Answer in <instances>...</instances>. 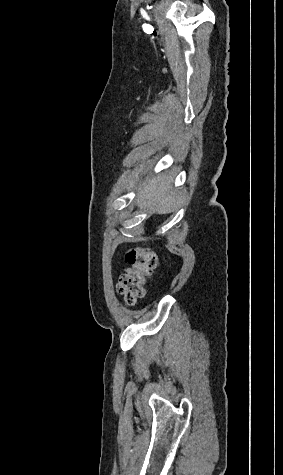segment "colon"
I'll return each mask as SVG.
<instances>
[{
  "label": "colon",
  "mask_w": 283,
  "mask_h": 475,
  "mask_svg": "<svg viewBox=\"0 0 283 475\" xmlns=\"http://www.w3.org/2000/svg\"><path fill=\"white\" fill-rule=\"evenodd\" d=\"M127 262L131 267L119 277L117 290L124 295L128 306H134L144 296L145 285L153 277L159 260L154 248L137 246L128 252Z\"/></svg>",
  "instance_id": "colon-1"
}]
</instances>
